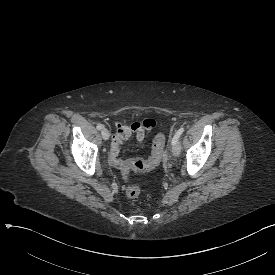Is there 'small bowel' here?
Segmentation results:
<instances>
[{
    "label": "small bowel",
    "instance_id": "c3829d8e",
    "mask_svg": "<svg viewBox=\"0 0 275 275\" xmlns=\"http://www.w3.org/2000/svg\"><path fill=\"white\" fill-rule=\"evenodd\" d=\"M158 127V122L152 118L145 119L140 123L122 121L116 119L114 126L111 128V133L115 135L112 140L109 161L115 167H121L125 161L119 157L122 141L132 138L133 133L136 134L137 141L141 143L144 140L145 132H150ZM133 132V133H132Z\"/></svg>",
    "mask_w": 275,
    "mask_h": 275
}]
</instances>
